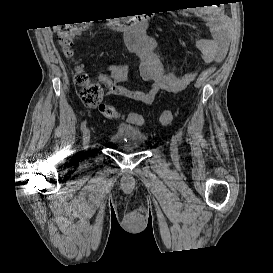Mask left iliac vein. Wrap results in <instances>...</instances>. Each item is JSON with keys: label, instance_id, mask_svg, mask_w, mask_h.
Instances as JSON below:
<instances>
[{"label": "left iliac vein", "instance_id": "4c4485c4", "mask_svg": "<svg viewBox=\"0 0 273 273\" xmlns=\"http://www.w3.org/2000/svg\"><path fill=\"white\" fill-rule=\"evenodd\" d=\"M170 153H171V158L174 162L179 161V155H178V144L177 140L175 138L171 139L170 142Z\"/></svg>", "mask_w": 273, "mask_h": 273}]
</instances>
